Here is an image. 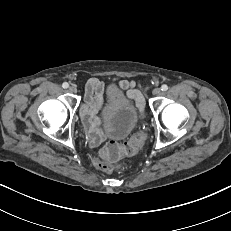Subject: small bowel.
<instances>
[{
    "label": "small bowel",
    "instance_id": "small-bowel-1",
    "mask_svg": "<svg viewBox=\"0 0 231 231\" xmlns=\"http://www.w3.org/2000/svg\"><path fill=\"white\" fill-rule=\"evenodd\" d=\"M119 86L126 91L127 97L131 99L139 109L143 108L144 97L142 92L136 89L134 81L121 80ZM104 89L105 83L97 78H91L86 85L81 118L91 146H97L103 139V133L99 129L100 120L96 114L103 103Z\"/></svg>",
    "mask_w": 231,
    "mask_h": 231
}]
</instances>
